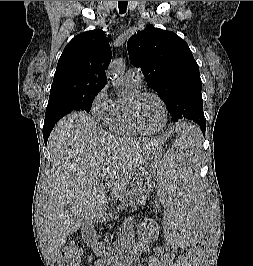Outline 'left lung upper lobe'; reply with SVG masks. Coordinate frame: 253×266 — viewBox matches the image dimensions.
Segmentation results:
<instances>
[{
	"label": "left lung upper lobe",
	"mask_w": 253,
	"mask_h": 266,
	"mask_svg": "<svg viewBox=\"0 0 253 266\" xmlns=\"http://www.w3.org/2000/svg\"><path fill=\"white\" fill-rule=\"evenodd\" d=\"M130 60L141 69L175 121L206 126L199 67L188 44L175 33L148 25L127 42Z\"/></svg>",
	"instance_id": "left-lung-upper-lobe-1"
}]
</instances>
